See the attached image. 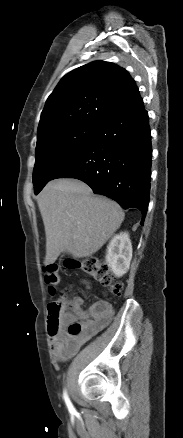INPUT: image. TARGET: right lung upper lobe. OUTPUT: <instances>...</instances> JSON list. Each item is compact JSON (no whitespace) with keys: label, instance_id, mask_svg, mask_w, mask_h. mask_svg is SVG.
<instances>
[{"label":"right lung upper lobe","instance_id":"obj_1","mask_svg":"<svg viewBox=\"0 0 183 438\" xmlns=\"http://www.w3.org/2000/svg\"><path fill=\"white\" fill-rule=\"evenodd\" d=\"M142 102L129 73L110 62L95 61L66 74L48 97L38 137L77 125L97 126Z\"/></svg>","mask_w":183,"mask_h":438}]
</instances>
